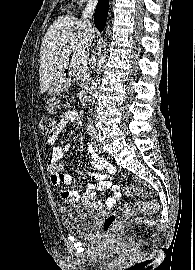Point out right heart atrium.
I'll list each match as a JSON object with an SVG mask.
<instances>
[{
	"instance_id": "right-heart-atrium-1",
	"label": "right heart atrium",
	"mask_w": 195,
	"mask_h": 270,
	"mask_svg": "<svg viewBox=\"0 0 195 270\" xmlns=\"http://www.w3.org/2000/svg\"><path fill=\"white\" fill-rule=\"evenodd\" d=\"M78 1H80V2H86V1H89V0H78Z\"/></svg>"
}]
</instances>
